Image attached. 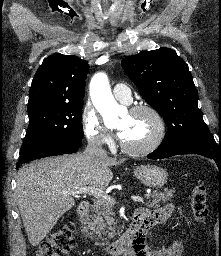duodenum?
Returning a JSON list of instances; mask_svg holds the SVG:
<instances>
[{
	"label": "duodenum",
	"mask_w": 221,
	"mask_h": 256,
	"mask_svg": "<svg viewBox=\"0 0 221 256\" xmlns=\"http://www.w3.org/2000/svg\"><path fill=\"white\" fill-rule=\"evenodd\" d=\"M90 210L89 202H81L77 208V216L80 224V231L84 237L85 242L88 245L92 244V238L87 229V218ZM143 220V215L140 212H135L133 220L124 232V234L117 240L105 245L103 251L109 256H119L128 251L132 244L138 239L141 230V222Z\"/></svg>",
	"instance_id": "1"
}]
</instances>
